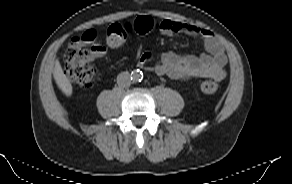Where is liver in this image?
Masks as SVG:
<instances>
[{
  "label": "liver",
  "instance_id": "obj_1",
  "mask_svg": "<svg viewBox=\"0 0 292 184\" xmlns=\"http://www.w3.org/2000/svg\"><path fill=\"white\" fill-rule=\"evenodd\" d=\"M53 77L59 87V89L66 95L71 96L72 85L64 74L62 67L58 60L55 61V66L53 70Z\"/></svg>",
  "mask_w": 292,
  "mask_h": 184
}]
</instances>
